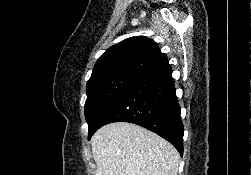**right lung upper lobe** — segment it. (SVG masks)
Instances as JSON below:
<instances>
[{"label": "right lung upper lobe", "instance_id": "1", "mask_svg": "<svg viewBox=\"0 0 251 175\" xmlns=\"http://www.w3.org/2000/svg\"><path fill=\"white\" fill-rule=\"evenodd\" d=\"M171 70L167 56L145 36L125 39L106 50L96 62L87 84L127 75L139 80Z\"/></svg>", "mask_w": 251, "mask_h": 175}]
</instances>
